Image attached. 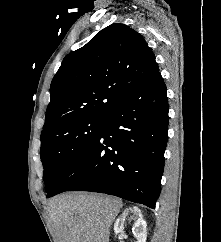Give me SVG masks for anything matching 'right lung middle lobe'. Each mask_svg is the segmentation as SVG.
<instances>
[{
    "label": "right lung middle lobe",
    "instance_id": "obj_1",
    "mask_svg": "<svg viewBox=\"0 0 221 242\" xmlns=\"http://www.w3.org/2000/svg\"><path fill=\"white\" fill-rule=\"evenodd\" d=\"M103 116L82 117L41 135V161L47 197L74 158L99 132Z\"/></svg>",
    "mask_w": 221,
    "mask_h": 242
}]
</instances>
